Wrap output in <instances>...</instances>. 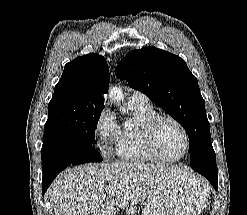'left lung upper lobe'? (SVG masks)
Masks as SVG:
<instances>
[{"label": "left lung upper lobe", "mask_w": 247, "mask_h": 215, "mask_svg": "<svg viewBox=\"0 0 247 215\" xmlns=\"http://www.w3.org/2000/svg\"><path fill=\"white\" fill-rule=\"evenodd\" d=\"M115 74L146 94L185 128L190 162L200 149L212 147L210 123L197 78L182 58L149 46L126 55Z\"/></svg>", "instance_id": "5c2ea615"}]
</instances>
